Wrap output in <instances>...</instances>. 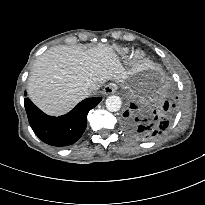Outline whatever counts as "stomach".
Listing matches in <instances>:
<instances>
[{"mask_svg":"<svg viewBox=\"0 0 205 205\" xmlns=\"http://www.w3.org/2000/svg\"><path fill=\"white\" fill-rule=\"evenodd\" d=\"M151 70L143 68L135 73L131 79L128 80L125 88L129 89L132 93L151 95L155 92L157 83L154 81Z\"/></svg>","mask_w":205,"mask_h":205,"instance_id":"stomach-1","label":"stomach"}]
</instances>
